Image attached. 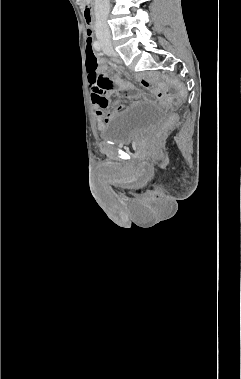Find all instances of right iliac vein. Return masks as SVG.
<instances>
[{"label": "right iliac vein", "instance_id": "obj_1", "mask_svg": "<svg viewBox=\"0 0 241 379\" xmlns=\"http://www.w3.org/2000/svg\"><path fill=\"white\" fill-rule=\"evenodd\" d=\"M105 48H107V49L111 50V45H109V44H106V45H105Z\"/></svg>", "mask_w": 241, "mask_h": 379}]
</instances>
